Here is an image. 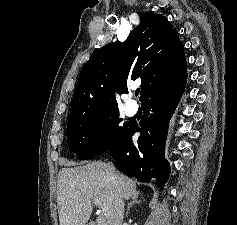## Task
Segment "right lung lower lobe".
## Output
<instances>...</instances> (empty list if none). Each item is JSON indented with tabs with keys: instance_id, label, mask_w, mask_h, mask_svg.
Segmentation results:
<instances>
[{
	"instance_id": "98d812e1",
	"label": "right lung lower lobe",
	"mask_w": 237,
	"mask_h": 225,
	"mask_svg": "<svg viewBox=\"0 0 237 225\" xmlns=\"http://www.w3.org/2000/svg\"><path fill=\"white\" fill-rule=\"evenodd\" d=\"M186 81L164 83L143 98V118L128 127L108 150L119 170L140 182L155 181L163 189L170 175V165L165 159V144L169 121L184 93ZM140 132L137 142L132 141Z\"/></svg>"
}]
</instances>
